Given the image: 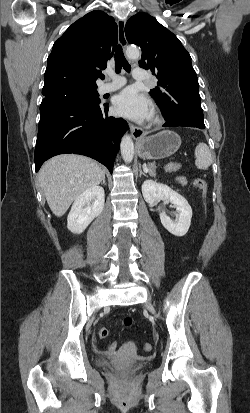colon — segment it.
<instances>
[{"instance_id": "obj_1", "label": "colon", "mask_w": 250, "mask_h": 413, "mask_svg": "<svg viewBox=\"0 0 250 413\" xmlns=\"http://www.w3.org/2000/svg\"><path fill=\"white\" fill-rule=\"evenodd\" d=\"M180 168H181V164L178 163V162H170L165 166V170L167 172H175V171H178ZM193 184L197 189L200 190L201 195H202V199L205 203L206 196H207V184H206V182L201 178H197V179L194 180ZM122 323H123L124 326H130L133 323V319L131 317L127 316L122 320ZM108 333L109 332H108V329L106 327H100L98 329V332H97L99 338H106L108 336ZM117 345H118V339L117 338L112 339L111 342L107 343V350H106L107 353L110 354V355L114 354L115 351H116L115 349L117 348ZM143 349L146 352H149V351H151L152 346H151V344L146 343L144 345Z\"/></svg>"}]
</instances>
